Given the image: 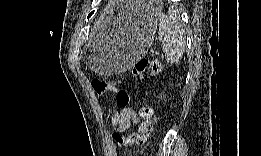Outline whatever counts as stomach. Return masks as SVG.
Here are the masks:
<instances>
[{"label":"stomach","instance_id":"stomach-1","mask_svg":"<svg viewBox=\"0 0 261 156\" xmlns=\"http://www.w3.org/2000/svg\"><path fill=\"white\" fill-rule=\"evenodd\" d=\"M160 9L142 7L127 23L110 33H99L89 50V63L93 71L113 74L125 71L144 57L150 48Z\"/></svg>","mask_w":261,"mask_h":156}]
</instances>
